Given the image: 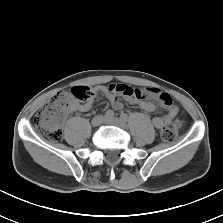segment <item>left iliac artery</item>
<instances>
[{"instance_id":"1","label":"left iliac artery","mask_w":223,"mask_h":223,"mask_svg":"<svg viewBox=\"0 0 223 223\" xmlns=\"http://www.w3.org/2000/svg\"><path fill=\"white\" fill-rule=\"evenodd\" d=\"M120 118L123 119L124 121H127L128 116L126 114H121Z\"/></svg>"}]
</instances>
